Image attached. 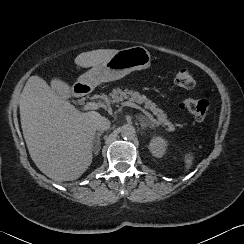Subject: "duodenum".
Masks as SVG:
<instances>
[{
    "instance_id": "duodenum-1",
    "label": "duodenum",
    "mask_w": 244,
    "mask_h": 244,
    "mask_svg": "<svg viewBox=\"0 0 244 244\" xmlns=\"http://www.w3.org/2000/svg\"><path fill=\"white\" fill-rule=\"evenodd\" d=\"M82 86L81 85H77L75 86V91L76 92H82L83 90H81Z\"/></svg>"
}]
</instances>
